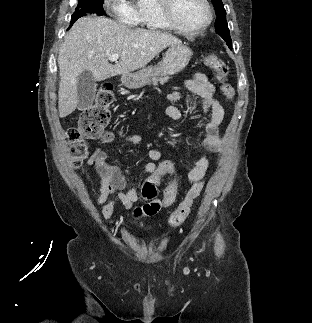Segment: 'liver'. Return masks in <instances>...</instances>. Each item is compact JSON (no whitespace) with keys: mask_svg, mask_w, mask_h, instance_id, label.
<instances>
[{"mask_svg":"<svg viewBox=\"0 0 312 323\" xmlns=\"http://www.w3.org/2000/svg\"><path fill=\"white\" fill-rule=\"evenodd\" d=\"M172 44H181L176 36L130 28L109 18L84 16L64 36L59 50V118H66L78 106L77 82L83 72H92L95 82L129 74L145 68L157 54ZM119 54L112 66L108 56Z\"/></svg>","mask_w":312,"mask_h":323,"instance_id":"6515ba94","label":"liver"}]
</instances>
